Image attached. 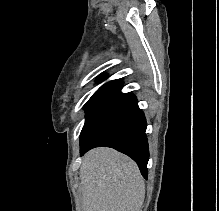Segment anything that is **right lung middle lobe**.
Masks as SVG:
<instances>
[{"instance_id":"right-lung-middle-lobe-1","label":"right lung middle lobe","mask_w":219,"mask_h":211,"mask_svg":"<svg viewBox=\"0 0 219 211\" xmlns=\"http://www.w3.org/2000/svg\"><path fill=\"white\" fill-rule=\"evenodd\" d=\"M108 94H109L108 91L95 92L92 95V97L88 100V102L85 105L86 121L81 133L88 126L93 114L95 113V111L98 109V107L101 105V103L104 101V99L107 97Z\"/></svg>"}]
</instances>
